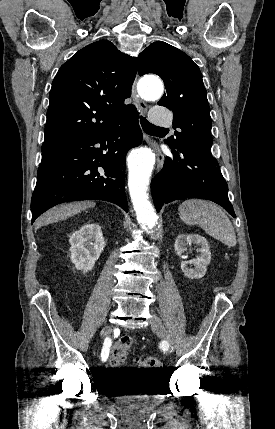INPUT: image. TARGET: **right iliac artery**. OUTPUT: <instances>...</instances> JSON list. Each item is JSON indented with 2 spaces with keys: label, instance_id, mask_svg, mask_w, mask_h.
Wrapping results in <instances>:
<instances>
[{
  "label": "right iliac artery",
  "instance_id": "82829eb1",
  "mask_svg": "<svg viewBox=\"0 0 275 429\" xmlns=\"http://www.w3.org/2000/svg\"><path fill=\"white\" fill-rule=\"evenodd\" d=\"M111 339L110 338H106L104 340V344H103V348H102V352H101V359L102 361H106L108 356H109V351H110V346H111Z\"/></svg>",
  "mask_w": 275,
  "mask_h": 429
}]
</instances>
